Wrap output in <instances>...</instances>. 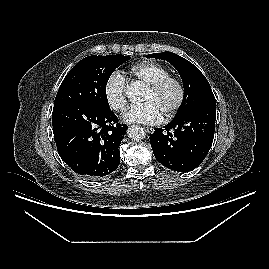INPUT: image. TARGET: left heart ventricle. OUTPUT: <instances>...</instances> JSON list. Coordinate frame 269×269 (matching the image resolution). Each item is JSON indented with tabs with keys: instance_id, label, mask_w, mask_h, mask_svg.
<instances>
[{
	"instance_id": "obj_1",
	"label": "left heart ventricle",
	"mask_w": 269,
	"mask_h": 269,
	"mask_svg": "<svg viewBox=\"0 0 269 269\" xmlns=\"http://www.w3.org/2000/svg\"><path fill=\"white\" fill-rule=\"evenodd\" d=\"M178 98V89L174 84H169L159 93H153L147 89L143 102H152L164 116L175 104Z\"/></svg>"
}]
</instances>
